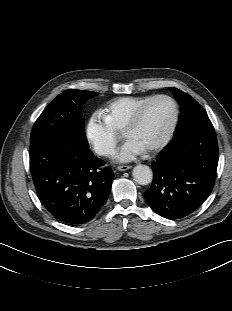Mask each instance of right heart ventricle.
I'll return each instance as SVG.
<instances>
[{
	"label": "right heart ventricle",
	"instance_id": "e07e8e85",
	"mask_svg": "<svg viewBox=\"0 0 232 311\" xmlns=\"http://www.w3.org/2000/svg\"><path fill=\"white\" fill-rule=\"evenodd\" d=\"M152 96H125L110 101L104 111L105 120L115 132H123L131 117Z\"/></svg>",
	"mask_w": 232,
	"mask_h": 311
}]
</instances>
